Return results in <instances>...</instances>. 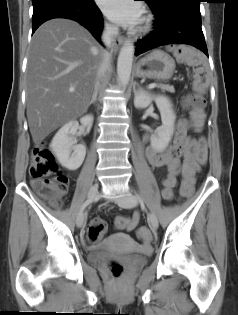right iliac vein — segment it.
I'll use <instances>...</instances> for the list:
<instances>
[{
    "label": "right iliac vein",
    "instance_id": "63e3f726",
    "mask_svg": "<svg viewBox=\"0 0 238 315\" xmlns=\"http://www.w3.org/2000/svg\"><path fill=\"white\" fill-rule=\"evenodd\" d=\"M98 196V185L94 184L90 187L88 191V200H94ZM85 221V215L83 212L79 213L77 219H76V225L77 227H81Z\"/></svg>",
    "mask_w": 238,
    "mask_h": 315
}]
</instances>
